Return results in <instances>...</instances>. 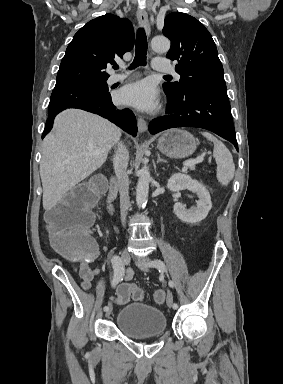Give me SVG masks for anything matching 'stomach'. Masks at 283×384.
<instances>
[{
    "instance_id": "1",
    "label": "stomach",
    "mask_w": 283,
    "mask_h": 384,
    "mask_svg": "<svg viewBox=\"0 0 283 384\" xmlns=\"http://www.w3.org/2000/svg\"><path fill=\"white\" fill-rule=\"evenodd\" d=\"M196 140L185 130H167L158 140L157 148L169 158H187L196 150Z\"/></svg>"
}]
</instances>
